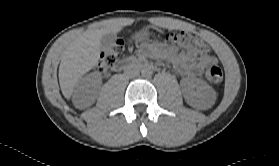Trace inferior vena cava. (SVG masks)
Masks as SVG:
<instances>
[{"mask_svg":"<svg viewBox=\"0 0 279 166\" xmlns=\"http://www.w3.org/2000/svg\"><path fill=\"white\" fill-rule=\"evenodd\" d=\"M125 74L128 76V77H136L139 75V71L138 70H127L125 71Z\"/></svg>","mask_w":279,"mask_h":166,"instance_id":"1","label":"inferior vena cava"}]
</instances>
